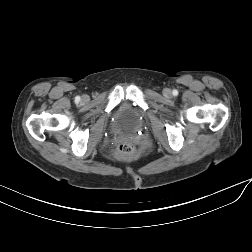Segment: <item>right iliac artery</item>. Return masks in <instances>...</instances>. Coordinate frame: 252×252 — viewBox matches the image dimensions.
<instances>
[{
    "mask_svg": "<svg viewBox=\"0 0 252 252\" xmlns=\"http://www.w3.org/2000/svg\"><path fill=\"white\" fill-rule=\"evenodd\" d=\"M75 100H76V101H79V100H80V97H79V96H77V97L75 98Z\"/></svg>",
    "mask_w": 252,
    "mask_h": 252,
    "instance_id": "82829eb1",
    "label": "right iliac artery"
}]
</instances>
